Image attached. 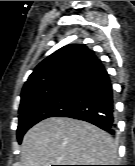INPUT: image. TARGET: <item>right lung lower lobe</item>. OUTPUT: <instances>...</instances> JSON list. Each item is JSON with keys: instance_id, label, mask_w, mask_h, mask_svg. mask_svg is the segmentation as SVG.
<instances>
[{"instance_id": "obj_1", "label": "right lung lower lobe", "mask_w": 135, "mask_h": 166, "mask_svg": "<svg viewBox=\"0 0 135 166\" xmlns=\"http://www.w3.org/2000/svg\"><path fill=\"white\" fill-rule=\"evenodd\" d=\"M69 86L73 97L55 116L87 121L114 135L113 89L105 68L101 66Z\"/></svg>"}]
</instances>
